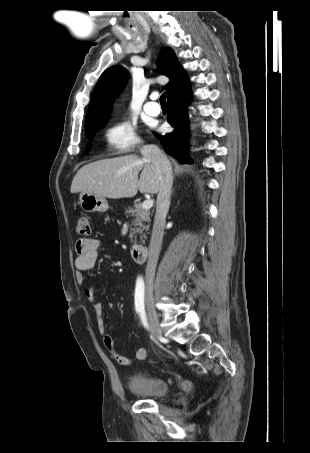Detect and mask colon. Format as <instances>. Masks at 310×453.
<instances>
[{
  "label": "colon",
  "instance_id": "1",
  "mask_svg": "<svg viewBox=\"0 0 310 453\" xmlns=\"http://www.w3.org/2000/svg\"><path fill=\"white\" fill-rule=\"evenodd\" d=\"M76 232L79 235H88L90 233V222L86 215H81L78 218Z\"/></svg>",
  "mask_w": 310,
  "mask_h": 453
}]
</instances>
